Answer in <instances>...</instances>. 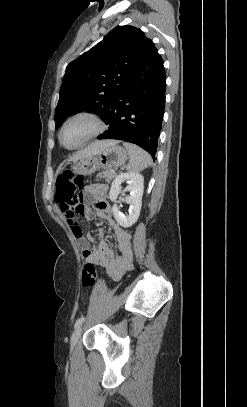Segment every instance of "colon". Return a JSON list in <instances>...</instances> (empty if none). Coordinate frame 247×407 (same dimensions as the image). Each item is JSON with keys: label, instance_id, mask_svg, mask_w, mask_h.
<instances>
[{"label": "colon", "instance_id": "colon-1", "mask_svg": "<svg viewBox=\"0 0 247 407\" xmlns=\"http://www.w3.org/2000/svg\"><path fill=\"white\" fill-rule=\"evenodd\" d=\"M83 187V178L74 175L71 171H64L56 180L55 199L59 203L77 199L78 193ZM98 274L93 263H87L82 271L81 283L84 288L93 286Z\"/></svg>", "mask_w": 247, "mask_h": 407}]
</instances>
